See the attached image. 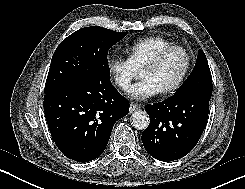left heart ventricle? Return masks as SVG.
I'll return each mask as SVG.
<instances>
[{"label": "left heart ventricle", "instance_id": "obj_1", "mask_svg": "<svg viewBox=\"0 0 245 189\" xmlns=\"http://www.w3.org/2000/svg\"><path fill=\"white\" fill-rule=\"evenodd\" d=\"M185 67L186 58L183 53L174 51L158 67L140 72V78L148 79L162 91L178 81Z\"/></svg>", "mask_w": 245, "mask_h": 189}]
</instances>
